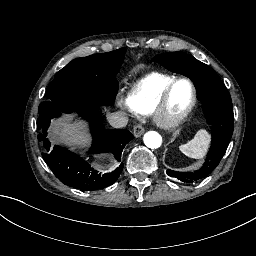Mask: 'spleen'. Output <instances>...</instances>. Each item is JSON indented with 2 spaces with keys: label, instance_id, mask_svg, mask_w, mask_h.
Returning <instances> with one entry per match:
<instances>
[{
  "label": "spleen",
  "instance_id": "1",
  "mask_svg": "<svg viewBox=\"0 0 256 256\" xmlns=\"http://www.w3.org/2000/svg\"><path fill=\"white\" fill-rule=\"evenodd\" d=\"M210 141V134L205 129H200L192 140L180 145L179 150L187 157L203 159L207 154Z\"/></svg>",
  "mask_w": 256,
  "mask_h": 256
}]
</instances>
